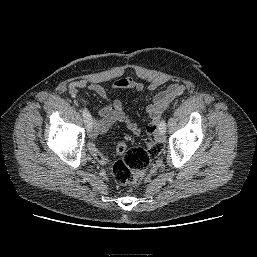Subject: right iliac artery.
<instances>
[{
  "mask_svg": "<svg viewBox=\"0 0 257 257\" xmlns=\"http://www.w3.org/2000/svg\"><path fill=\"white\" fill-rule=\"evenodd\" d=\"M82 115L84 117L85 125L87 128H92V117L86 108H82Z\"/></svg>",
  "mask_w": 257,
  "mask_h": 257,
  "instance_id": "1",
  "label": "right iliac artery"
}]
</instances>
